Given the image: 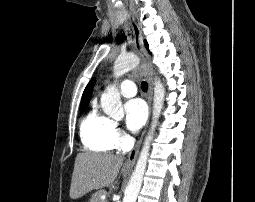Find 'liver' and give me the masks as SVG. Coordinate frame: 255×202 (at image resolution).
I'll return each instance as SVG.
<instances>
[{"label": "liver", "mask_w": 255, "mask_h": 202, "mask_svg": "<svg viewBox=\"0 0 255 202\" xmlns=\"http://www.w3.org/2000/svg\"><path fill=\"white\" fill-rule=\"evenodd\" d=\"M123 162L124 158L118 155L79 153L75 159L70 198L78 199L93 189L110 185L124 165Z\"/></svg>", "instance_id": "liver-1"}]
</instances>
